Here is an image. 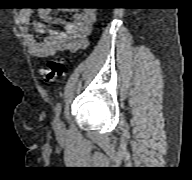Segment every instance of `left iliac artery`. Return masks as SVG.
<instances>
[{
    "label": "left iliac artery",
    "mask_w": 192,
    "mask_h": 180,
    "mask_svg": "<svg viewBox=\"0 0 192 180\" xmlns=\"http://www.w3.org/2000/svg\"><path fill=\"white\" fill-rule=\"evenodd\" d=\"M54 111H55L56 118L58 119L60 116V113H61V103L60 102H58L56 104Z\"/></svg>",
    "instance_id": "1"
}]
</instances>
